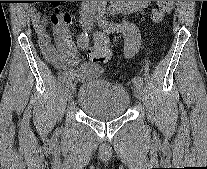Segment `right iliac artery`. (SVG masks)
<instances>
[{"label":"right iliac artery","mask_w":207,"mask_h":169,"mask_svg":"<svg viewBox=\"0 0 207 169\" xmlns=\"http://www.w3.org/2000/svg\"><path fill=\"white\" fill-rule=\"evenodd\" d=\"M100 10V7L97 5H94L92 9L89 12V18L92 19L96 13ZM91 21L89 20L87 25L85 26L84 31L79 35L78 37V44L81 46V48H86L88 46L89 42V32L91 29ZM73 79V76L71 74L66 73L64 75L63 81L69 82Z\"/></svg>","instance_id":"1"}]
</instances>
